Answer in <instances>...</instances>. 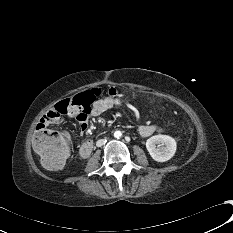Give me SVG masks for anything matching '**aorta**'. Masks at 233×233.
I'll list each match as a JSON object with an SVG mask.
<instances>
[{
  "instance_id": "aorta-1",
  "label": "aorta",
  "mask_w": 233,
  "mask_h": 233,
  "mask_svg": "<svg viewBox=\"0 0 233 233\" xmlns=\"http://www.w3.org/2000/svg\"><path fill=\"white\" fill-rule=\"evenodd\" d=\"M121 136H122L121 131H115V133H114V137H116V138H120Z\"/></svg>"
}]
</instances>
